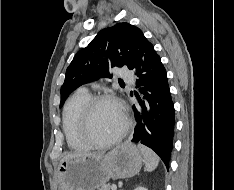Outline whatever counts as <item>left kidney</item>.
<instances>
[{
  "label": "left kidney",
  "instance_id": "1",
  "mask_svg": "<svg viewBox=\"0 0 234 190\" xmlns=\"http://www.w3.org/2000/svg\"><path fill=\"white\" fill-rule=\"evenodd\" d=\"M134 190H147V189L142 187V186H139V187L135 188Z\"/></svg>",
  "mask_w": 234,
  "mask_h": 190
}]
</instances>
